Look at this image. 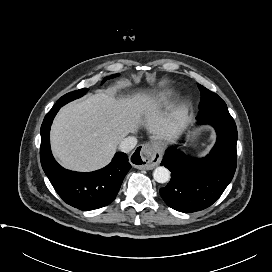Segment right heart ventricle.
Instances as JSON below:
<instances>
[{
	"instance_id": "obj_1",
	"label": "right heart ventricle",
	"mask_w": 272,
	"mask_h": 272,
	"mask_svg": "<svg viewBox=\"0 0 272 272\" xmlns=\"http://www.w3.org/2000/svg\"><path fill=\"white\" fill-rule=\"evenodd\" d=\"M170 97V92L169 91H164L162 93H160L149 105L147 108V111H152L156 108H158L159 106L163 105L164 103H166V101L169 99Z\"/></svg>"
}]
</instances>
